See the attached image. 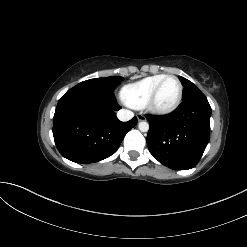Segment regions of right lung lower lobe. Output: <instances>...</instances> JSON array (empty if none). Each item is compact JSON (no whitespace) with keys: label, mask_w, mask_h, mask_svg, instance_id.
Returning <instances> with one entry per match:
<instances>
[{"label":"right lung lower lobe","mask_w":247,"mask_h":247,"mask_svg":"<svg viewBox=\"0 0 247 247\" xmlns=\"http://www.w3.org/2000/svg\"><path fill=\"white\" fill-rule=\"evenodd\" d=\"M113 91L95 87H73L59 100L53 136L61 155L76 163L103 160L119 148L126 133L137 124L134 117L121 122L115 116Z\"/></svg>","instance_id":"98d812e1"}]
</instances>
